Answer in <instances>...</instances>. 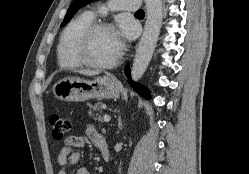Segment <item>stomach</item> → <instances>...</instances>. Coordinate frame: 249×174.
<instances>
[{"mask_svg":"<svg viewBox=\"0 0 249 174\" xmlns=\"http://www.w3.org/2000/svg\"><path fill=\"white\" fill-rule=\"evenodd\" d=\"M122 89L114 76L106 75L94 80L66 77L57 81L52 91L60 100L81 102L94 98H118Z\"/></svg>","mask_w":249,"mask_h":174,"instance_id":"stomach-1","label":"stomach"}]
</instances>
